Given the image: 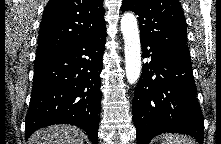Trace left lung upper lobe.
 I'll use <instances>...</instances> for the list:
<instances>
[{
	"instance_id": "5c2ea615",
	"label": "left lung upper lobe",
	"mask_w": 221,
	"mask_h": 144,
	"mask_svg": "<svg viewBox=\"0 0 221 144\" xmlns=\"http://www.w3.org/2000/svg\"><path fill=\"white\" fill-rule=\"evenodd\" d=\"M138 15L142 40L189 54L187 24L178 0H123L122 11Z\"/></svg>"
}]
</instances>
